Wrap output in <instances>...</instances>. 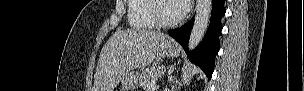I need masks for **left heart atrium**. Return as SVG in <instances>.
I'll list each match as a JSON object with an SVG mask.
<instances>
[{"instance_id":"left-heart-atrium-1","label":"left heart atrium","mask_w":304,"mask_h":91,"mask_svg":"<svg viewBox=\"0 0 304 91\" xmlns=\"http://www.w3.org/2000/svg\"><path fill=\"white\" fill-rule=\"evenodd\" d=\"M178 2L180 4L182 14L187 12V10L189 8V1L188 0H178Z\"/></svg>"}]
</instances>
